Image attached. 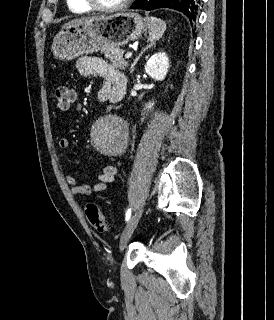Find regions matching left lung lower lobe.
<instances>
[{"label": "left lung lower lobe", "instance_id": "obj_1", "mask_svg": "<svg viewBox=\"0 0 274 320\" xmlns=\"http://www.w3.org/2000/svg\"><path fill=\"white\" fill-rule=\"evenodd\" d=\"M200 0H136L131 9L154 10L170 8L182 12L193 23L196 19Z\"/></svg>", "mask_w": 274, "mask_h": 320}]
</instances>
